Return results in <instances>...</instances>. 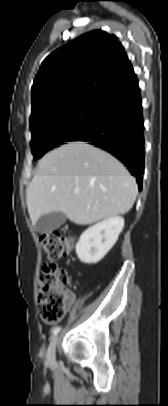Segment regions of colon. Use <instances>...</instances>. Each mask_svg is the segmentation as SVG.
I'll use <instances>...</instances> for the list:
<instances>
[{
	"label": "colon",
	"instance_id": "colon-1",
	"mask_svg": "<svg viewBox=\"0 0 168 406\" xmlns=\"http://www.w3.org/2000/svg\"><path fill=\"white\" fill-rule=\"evenodd\" d=\"M41 244L47 263L39 271L36 291L41 319L49 324L62 320L65 314V285L68 274L53 260L67 256L73 249V240L62 231H52L41 235Z\"/></svg>",
	"mask_w": 168,
	"mask_h": 406
}]
</instances>
